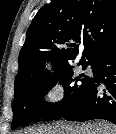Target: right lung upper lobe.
Here are the masks:
<instances>
[{"label":"right lung upper lobe","mask_w":116,"mask_h":134,"mask_svg":"<svg viewBox=\"0 0 116 134\" xmlns=\"http://www.w3.org/2000/svg\"><path fill=\"white\" fill-rule=\"evenodd\" d=\"M81 43L80 62H91L97 53L116 44V1L52 0L42 7L19 54L14 95L51 76L45 71L47 60L53 61L55 73L69 66L68 60L75 59Z\"/></svg>","instance_id":"1"}]
</instances>
